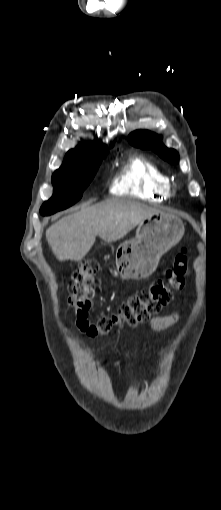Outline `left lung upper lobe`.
<instances>
[{
	"instance_id": "left-lung-upper-lobe-1",
	"label": "left lung upper lobe",
	"mask_w": 221,
	"mask_h": 510,
	"mask_svg": "<svg viewBox=\"0 0 221 510\" xmlns=\"http://www.w3.org/2000/svg\"><path fill=\"white\" fill-rule=\"evenodd\" d=\"M161 136L147 130H136L128 136L130 144L142 149H152L164 160L170 163H178L179 154L174 149H168L160 140Z\"/></svg>"
}]
</instances>
